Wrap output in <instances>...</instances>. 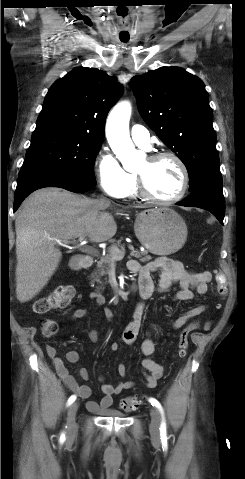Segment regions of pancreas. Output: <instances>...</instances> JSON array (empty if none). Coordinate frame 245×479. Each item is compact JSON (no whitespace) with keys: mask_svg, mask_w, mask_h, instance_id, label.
I'll return each mask as SVG.
<instances>
[{"mask_svg":"<svg viewBox=\"0 0 245 479\" xmlns=\"http://www.w3.org/2000/svg\"><path fill=\"white\" fill-rule=\"evenodd\" d=\"M122 239L118 240L116 243L112 244L110 248H108V253L105 256L99 257L100 260L97 262V269L91 274V278L93 282H99L101 276H105L108 274V271L112 264V255H111V248L112 247H121ZM133 257L138 258L142 262H146L152 259L150 255L147 254V251L144 252H134L131 254ZM100 289H104L100 287Z\"/></svg>","mask_w":245,"mask_h":479,"instance_id":"obj_1","label":"pancreas"}]
</instances>
